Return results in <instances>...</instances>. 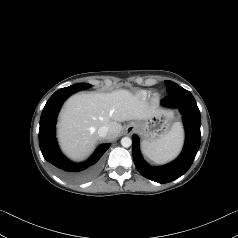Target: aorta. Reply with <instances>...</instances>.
Returning <instances> with one entry per match:
<instances>
[{"label": "aorta", "mask_w": 238, "mask_h": 238, "mask_svg": "<svg viewBox=\"0 0 238 238\" xmlns=\"http://www.w3.org/2000/svg\"><path fill=\"white\" fill-rule=\"evenodd\" d=\"M121 145H122L123 147H126V148L130 147V146L132 145V140H131V138H129V137H123V138L121 139Z\"/></svg>", "instance_id": "1"}]
</instances>
